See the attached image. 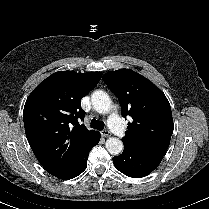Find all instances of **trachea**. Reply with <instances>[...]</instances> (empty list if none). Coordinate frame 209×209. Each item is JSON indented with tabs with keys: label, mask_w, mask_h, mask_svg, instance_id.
Here are the masks:
<instances>
[{
	"label": "trachea",
	"mask_w": 209,
	"mask_h": 209,
	"mask_svg": "<svg viewBox=\"0 0 209 209\" xmlns=\"http://www.w3.org/2000/svg\"><path fill=\"white\" fill-rule=\"evenodd\" d=\"M91 127L97 130H103L104 129V123L100 120L92 119L91 121Z\"/></svg>",
	"instance_id": "trachea-1"
}]
</instances>
